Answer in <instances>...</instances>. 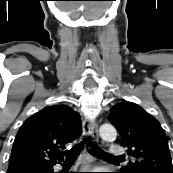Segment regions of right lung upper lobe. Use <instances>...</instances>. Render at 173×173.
<instances>
[{
	"label": "right lung upper lobe",
	"mask_w": 173,
	"mask_h": 173,
	"mask_svg": "<svg viewBox=\"0 0 173 173\" xmlns=\"http://www.w3.org/2000/svg\"><path fill=\"white\" fill-rule=\"evenodd\" d=\"M81 135V119L67 105H53L29 117L17 132L7 171L62 161L61 149Z\"/></svg>",
	"instance_id": "cb5924a9"
}]
</instances>
